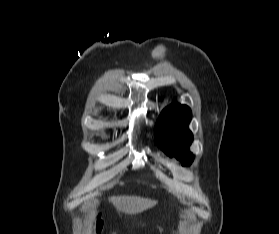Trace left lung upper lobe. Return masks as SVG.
Returning <instances> with one entry per match:
<instances>
[{"instance_id":"obj_1","label":"left lung upper lobe","mask_w":279,"mask_h":234,"mask_svg":"<svg viewBox=\"0 0 279 234\" xmlns=\"http://www.w3.org/2000/svg\"><path fill=\"white\" fill-rule=\"evenodd\" d=\"M191 118L188 106L174 103L163 110L156 128V140L161 149L168 156H175L183 166H189L194 159L189 151L193 140L188 129Z\"/></svg>"}]
</instances>
